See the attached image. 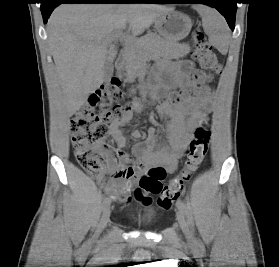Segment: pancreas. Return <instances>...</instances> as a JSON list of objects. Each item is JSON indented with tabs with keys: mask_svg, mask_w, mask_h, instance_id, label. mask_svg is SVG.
Listing matches in <instances>:
<instances>
[{
	"mask_svg": "<svg viewBox=\"0 0 279 267\" xmlns=\"http://www.w3.org/2000/svg\"><path fill=\"white\" fill-rule=\"evenodd\" d=\"M187 44H179L162 39L156 33H150L138 40L132 41L124 52V74L128 79L137 76L144 62L148 59H177L189 53Z\"/></svg>",
	"mask_w": 279,
	"mask_h": 267,
	"instance_id": "pancreas-1",
	"label": "pancreas"
}]
</instances>
